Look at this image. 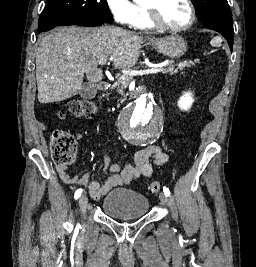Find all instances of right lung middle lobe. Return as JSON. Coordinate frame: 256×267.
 <instances>
[{
	"mask_svg": "<svg viewBox=\"0 0 256 267\" xmlns=\"http://www.w3.org/2000/svg\"><path fill=\"white\" fill-rule=\"evenodd\" d=\"M107 0H47L39 18V29L48 31L73 21L111 22Z\"/></svg>",
	"mask_w": 256,
	"mask_h": 267,
	"instance_id": "dd1d6c3e",
	"label": "right lung middle lobe"
}]
</instances>
